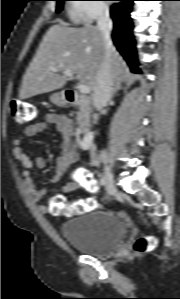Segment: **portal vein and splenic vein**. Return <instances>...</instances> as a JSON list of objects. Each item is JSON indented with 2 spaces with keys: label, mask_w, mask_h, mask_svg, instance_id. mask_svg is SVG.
<instances>
[{
  "label": "portal vein and splenic vein",
  "mask_w": 180,
  "mask_h": 299,
  "mask_svg": "<svg viewBox=\"0 0 180 299\" xmlns=\"http://www.w3.org/2000/svg\"><path fill=\"white\" fill-rule=\"evenodd\" d=\"M51 71L53 72H59L58 69H56L55 67H50L49 68ZM63 75L67 76L69 79L73 80L74 77H73V73L69 70H65V71H61ZM77 89L79 90L80 93L82 94H89L90 93V88L87 86V85H84V84H79L77 86Z\"/></svg>",
  "instance_id": "portal-vein-and-splenic-vein-1"
}]
</instances>
